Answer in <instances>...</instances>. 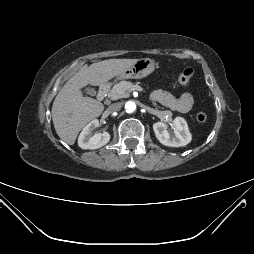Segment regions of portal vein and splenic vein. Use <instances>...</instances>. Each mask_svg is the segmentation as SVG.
Returning a JSON list of instances; mask_svg holds the SVG:
<instances>
[{"instance_id":"1","label":"portal vein and splenic vein","mask_w":254,"mask_h":254,"mask_svg":"<svg viewBox=\"0 0 254 254\" xmlns=\"http://www.w3.org/2000/svg\"><path fill=\"white\" fill-rule=\"evenodd\" d=\"M136 89H137V90H141V88H140V87L134 88L133 90H136Z\"/></svg>"}]
</instances>
